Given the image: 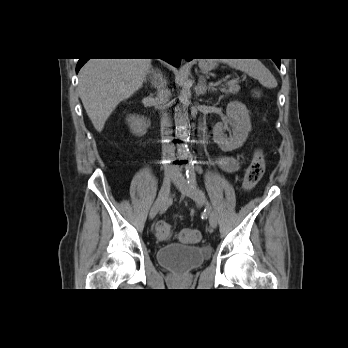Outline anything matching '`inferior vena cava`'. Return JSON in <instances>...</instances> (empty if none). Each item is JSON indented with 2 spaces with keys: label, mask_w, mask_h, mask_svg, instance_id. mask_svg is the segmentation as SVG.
Listing matches in <instances>:
<instances>
[{
  "label": "inferior vena cava",
  "mask_w": 348,
  "mask_h": 348,
  "mask_svg": "<svg viewBox=\"0 0 348 348\" xmlns=\"http://www.w3.org/2000/svg\"><path fill=\"white\" fill-rule=\"evenodd\" d=\"M157 95L156 102L161 106V137H162V155L164 160H172L175 155V147L170 142L172 130L171 122L167 113V104L170 97V91L167 87V81L163 79L162 75H160L157 81ZM168 166H165V170H168Z\"/></svg>",
  "instance_id": "1"
}]
</instances>
